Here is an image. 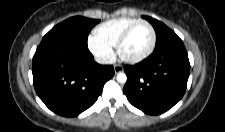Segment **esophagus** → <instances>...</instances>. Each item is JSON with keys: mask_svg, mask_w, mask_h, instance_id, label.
I'll list each match as a JSON object with an SVG mask.
<instances>
[{"mask_svg": "<svg viewBox=\"0 0 225 132\" xmlns=\"http://www.w3.org/2000/svg\"><path fill=\"white\" fill-rule=\"evenodd\" d=\"M114 71L115 73H120L123 71V67L121 65H114Z\"/></svg>", "mask_w": 225, "mask_h": 132, "instance_id": "esophagus-1", "label": "esophagus"}]
</instances>
